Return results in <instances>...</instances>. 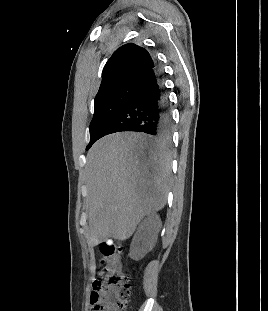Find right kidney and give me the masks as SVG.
Masks as SVG:
<instances>
[{
    "instance_id": "right-kidney-1",
    "label": "right kidney",
    "mask_w": 268,
    "mask_h": 311,
    "mask_svg": "<svg viewBox=\"0 0 268 311\" xmlns=\"http://www.w3.org/2000/svg\"><path fill=\"white\" fill-rule=\"evenodd\" d=\"M162 223L158 215H151L145 219L132 240L130 257L133 260L142 259L157 242L158 233Z\"/></svg>"
}]
</instances>
